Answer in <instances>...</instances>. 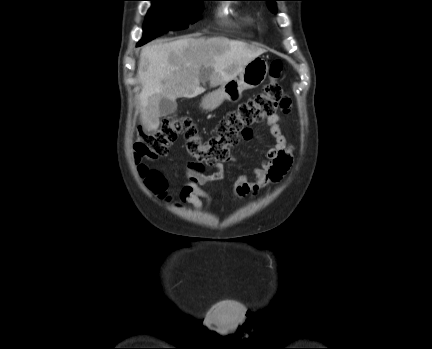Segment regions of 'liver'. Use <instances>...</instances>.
Returning <instances> with one entry per match:
<instances>
[{"label":"liver","instance_id":"6515ba94","mask_svg":"<svg viewBox=\"0 0 432 349\" xmlns=\"http://www.w3.org/2000/svg\"><path fill=\"white\" fill-rule=\"evenodd\" d=\"M265 50L255 45L218 36L185 37L145 46L140 54L138 76L141 122L149 131L159 127L162 98H193L203 93L202 71H209L212 87L236 78L244 67Z\"/></svg>","mask_w":432,"mask_h":349}]
</instances>
